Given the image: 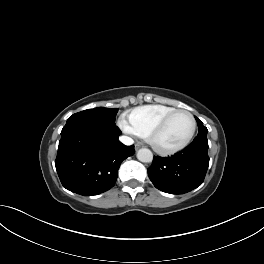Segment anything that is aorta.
<instances>
[{
	"label": "aorta",
	"instance_id": "obj_1",
	"mask_svg": "<svg viewBox=\"0 0 264 264\" xmlns=\"http://www.w3.org/2000/svg\"><path fill=\"white\" fill-rule=\"evenodd\" d=\"M137 159L143 163H150L153 160V153L147 148H141L137 152Z\"/></svg>",
	"mask_w": 264,
	"mask_h": 264
}]
</instances>
